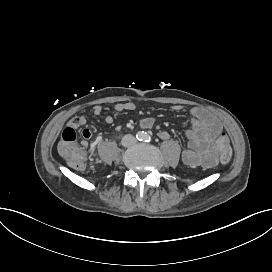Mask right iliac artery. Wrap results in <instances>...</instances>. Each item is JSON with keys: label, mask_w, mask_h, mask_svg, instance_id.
I'll return each instance as SVG.
<instances>
[{"label": "right iliac artery", "mask_w": 272, "mask_h": 272, "mask_svg": "<svg viewBox=\"0 0 272 272\" xmlns=\"http://www.w3.org/2000/svg\"><path fill=\"white\" fill-rule=\"evenodd\" d=\"M145 134L146 133H144L143 131L142 132H138L137 135H136L137 140L143 141L144 138H145Z\"/></svg>", "instance_id": "obj_1"}]
</instances>
